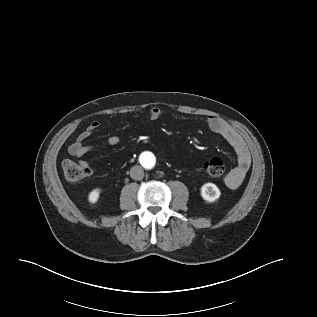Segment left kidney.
Here are the masks:
<instances>
[{"label": "left kidney", "mask_w": 317, "mask_h": 317, "mask_svg": "<svg viewBox=\"0 0 317 317\" xmlns=\"http://www.w3.org/2000/svg\"><path fill=\"white\" fill-rule=\"evenodd\" d=\"M219 188L213 183H206L201 187V196L207 202H214L220 197Z\"/></svg>", "instance_id": "5707ae66"}]
</instances>
